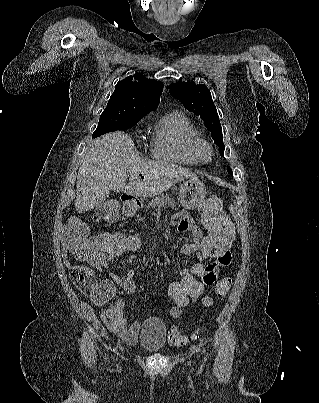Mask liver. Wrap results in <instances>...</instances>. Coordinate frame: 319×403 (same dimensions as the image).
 Masks as SVG:
<instances>
[{
	"label": "liver",
	"instance_id": "liver-1",
	"mask_svg": "<svg viewBox=\"0 0 319 403\" xmlns=\"http://www.w3.org/2000/svg\"><path fill=\"white\" fill-rule=\"evenodd\" d=\"M129 176L136 180L126 184ZM189 178L197 176L173 163L142 159L128 134L111 132L89 143L77 175L74 204L77 212L84 213L103 203L110 190L132 196H156Z\"/></svg>",
	"mask_w": 319,
	"mask_h": 403
}]
</instances>
